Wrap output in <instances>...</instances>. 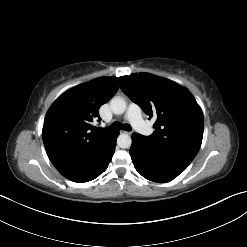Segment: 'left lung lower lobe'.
<instances>
[{
  "label": "left lung lower lobe",
  "mask_w": 247,
  "mask_h": 247,
  "mask_svg": "<svg viewBox=\"0 0 247 247\" xmlns=\"http://www.w3.org/2000/svg\"><path fill=\"white\" fill-rule=\"evenodd\" d=\"M129 153L135 169L144 178L157 183L173 180L190 164L165 154L140 134L132 135Z\"/></svg>",
  "instance_id": "left-lung-lower-lobe-1"
}]
</instances>
